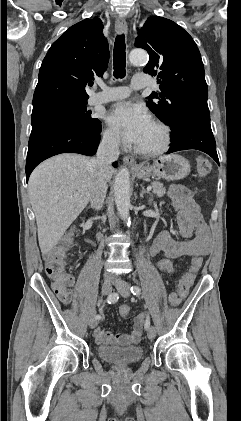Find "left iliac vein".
<instances>
[{
	"label": "left iliac vein",
	"mask_w": 241,
	"mask_h": 421,
	"mask_svg": "<svg viewBox=\"0 0 241 421\" xmlns=\"http://www.w3.org/2000/svg\"><path fill=\"white\" fill-rule=\"evenodd\" d=\"M115 286L118 290V292L123 297H128L130 295V285L128 282L122 280V279H116L115 280ZM148 338L150 340H153L156 336V329L154 326L149 327L147 332Z\"/></svg>",
	"instance_id": "obj_1"
}]
</instances>
